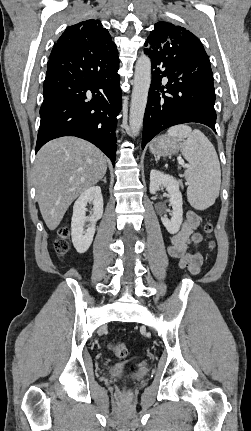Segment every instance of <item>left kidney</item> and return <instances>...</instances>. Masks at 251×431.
I'll use <instances>...</instances> for the list:
<instances>
[{
    "label": "left kidney",
    "mask_w": 251,
    "mask_h": 431,
    "mask_svg": "<svg viewBox=\"0 0 251 431\" xmlns=\"http://www.w3.org/2000/svg\"><path fill=\"white\" fill-rule=\"evenodd\" d=\"M160 187L166 188L173 209L171 219L161 217V221L170 234H176L180 230L183 220V201L179 190V182L173 176L164 174L158 170H151L150 193L155 194Z\"/></svg>",
    "instance_id": "obj_1"
}]
</instances>
